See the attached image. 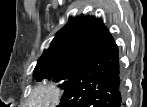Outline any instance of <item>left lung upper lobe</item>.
I'll return each instance as SVG.
<instances>
[{"mask_svg": "<svg viewBox=\"0 0 147 107\" xmlns=\"http://www.w3.org/2000/svg\"><path fill=\"white\" fill-rule=\"evenodd\" d=\"M108 35L101 19L84 15L70 18L38 59L33 76L37 81H63L59 87L65 89Z\"/></svg>", "mask_w": 147, "mask_h": 107, "instance_id": "left-lung-upper-lobe-1", "label": "left lung upper lobe"}]
</instances>
